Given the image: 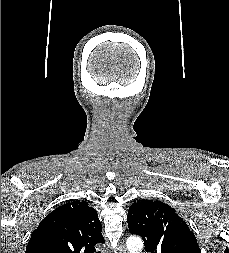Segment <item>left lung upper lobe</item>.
I'll use <instances>...</instances> for the list:
<instances>
[{
    "instance_id": "1",
    "label": "left lung upper lobe",
    "mask_w": 229,
    "mask_h": 253,
    "mask_svg": "<svg viewBox=\"0 0 229 253\" xmlns=\"http://www.w3.org/2000/svg\"><path fill=\"white\" fill-rule=\"evenodd\" d=\"M130 233L140 235L150 253H201L196 237L169 205L138 200L128 210Z\"/></svg>"
}]
</instances>
